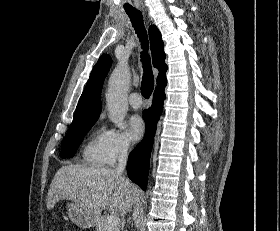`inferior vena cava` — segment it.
<instances>
[{
    "instance_id": "inferior-vena-cava-1",
    "label": "inferior vena cava",
    "mask_w": 280,
    "mask_h": 231,
    "mask_svg": "<svg viewBox=\"0 0 280 231\" xmlns=\"http://www.w3.org/2000/svg\"><path fill=\"white\" fill-rule=\"evenodd\" d=\"M128 143H121L118 151V165L115 169L119 175H121L122 171H124L127 163V157H128Z\"/></svg>"
}]
</instances>
